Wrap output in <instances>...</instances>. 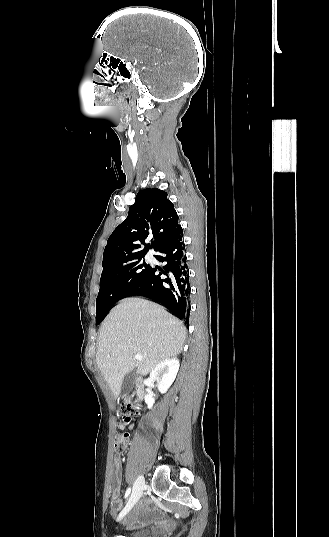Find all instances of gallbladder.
Masks as SVG:
<instances>
[{"label":"gallbladder","mask_w":329,"mask_h":537,"mask_svg":"<svg viewBox=\"0 0 329 537\" xmlns=\"http://www.w3.org/2000/svg\"><path fill=\"white\" fill-rule=\"evenodd\" d=\"M137 377L136 370L128 372L122 381L121 393L128 394L135 387V380Z\"/></svg>","instance_id":"1"}]
</instances>
